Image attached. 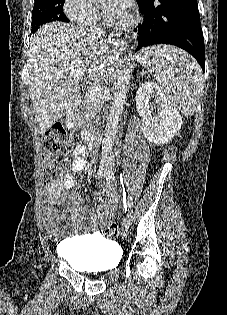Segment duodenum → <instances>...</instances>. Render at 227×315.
Returning a JSON list of instances; mask_svg holds the SVG:
<instances>
[{
  "label": "duodenum",
  "instance_id": "410a0bca",
  "mask_svg": "<svg viewBox=\"0 0 227 315\" xmlns=\"http://www.w3.org/2000/svg\"><path fill=\"white\" fill-rule=\"evenodd\" d=\"M75 121V114L73 112H70L66 115V122L69 126L73 127ZM84 138L88 143H93L95 141V135L91 133H85Z\"/></svg>",
  "mask_w": 227,
  "mask_h": 315
}]
</instances>
